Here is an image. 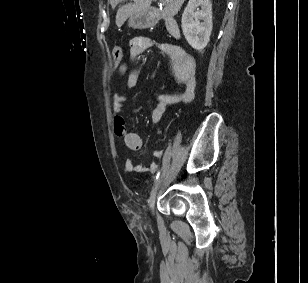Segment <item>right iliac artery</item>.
<instances>
[{
  "mask_svg": "<svg viewBox=\"0 0 308 283\" xmlns=\"http://www.w3.org/2000/svg\"><path fill=\"white\" fill-rule=\"evenodd\" d=\"M160 176V171L156 174L155 179L157 180Z\"/></svg>",
  "mask_w": 308,
  "mask_h": 283,
  "instance_id": "right-iliac-artery-1",
  "label": "right iliac artery"
}]
</instances>
